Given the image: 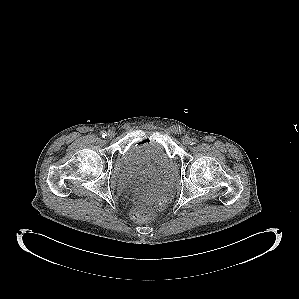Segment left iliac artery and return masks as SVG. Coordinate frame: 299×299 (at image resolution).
Instances as JSON below:
<instances>
[{"mask_svg":"<svg viewBox=\"0 0 299 299\" xmlns=\"http://www.w3.org/2000/svg\"><path fill=\"white\" fill-rule=\"evenodd\" d=\"M196 142H197V139L196 138H192L190 143H191V145H194V144H196Z\"/></svg>","mask_w":299,"mask_h":299,"instance_id":"1","label":"left iliac artery"}]
</instances>
